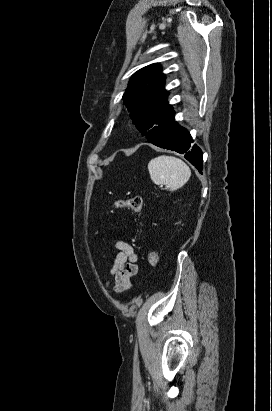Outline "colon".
<instances>
[{
  "label": "colon",
  "mask_w": 272,
  "mask_h": 411,
  "mask_svg": "<svg viewBox=\"0 0 272 411\" xmlns=\"http://www.w3.org/2000/svg\"><path fill=\"white\" fill-rule=\"evenodd\" d=\"M117 208L131 209L135 214L140 215L143 210V199L140 196H134L126 199H119L114 203ZM148 262L151 266L157 267L159 265V257L155 252H150L147 256Z\"/></svg>",
  "instance_id": "5ec220e1"
}]
</instances>
